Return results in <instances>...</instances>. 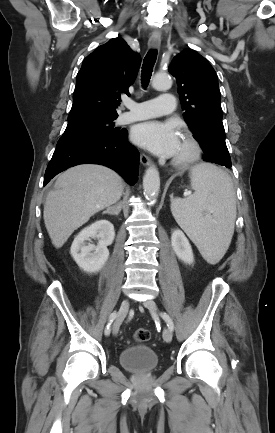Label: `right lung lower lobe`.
Returning a JSON list of instances; mask_svg holds the SVG:
<instances>
[{"instance_id":"right-lung-lower-lobe-1","label":"right lung lower lobe","mask_w":275,"mask_h":433,"mask_svg":"<svg viewBox=\"0 0 275 433\" xmlns=\"http://www.w3.org/2000/svg\"><path fill=\"white\" fill-rule=\"evenodd\" d=\"M127 131L105 139H60L45 172V186L65 169L85 163L101 164L118 172L130 185L137 180L139 152L127 140Z\"/></svg>"}]
</instances>
